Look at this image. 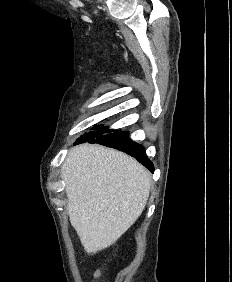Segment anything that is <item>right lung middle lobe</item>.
<instances>
[{"mask_svg": "<svg viewBox=\"0 0 232 282\" xmlns=\"http://www.w3.org/2000/svg\"><path fill=\"white\" fill-rule=\"evenodd\" d=\"M94 129H95V131H91V132H88L85 135H82L81 138H79L77 141L87 140L89 138H92V137H95V136H98V135H102L106 132L112 131V130H109L108 127L104 128L102 125H100V126L96 125L94 127Z\"/></svg>", "mask_w": 232, "mask_h": 282, "instance_id": "dd1d6c3e", "label": "right lung middle lobe"}]
</instances>
